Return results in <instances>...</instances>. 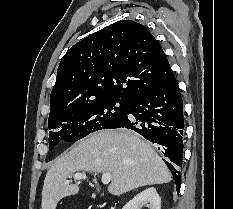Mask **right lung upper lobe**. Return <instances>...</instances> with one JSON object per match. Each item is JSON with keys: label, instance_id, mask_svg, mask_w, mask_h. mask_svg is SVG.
Listing matches in <instances>:
<instances>
[{"label": "right lung upper lobe", "instance_id": "cb5924a9", "mask_svg": "<svg viewBox=\"0 0 233 209\" xmlns=\"http://www.w3.org/2000/svg\"><path fill=\"white\" fill-rule=\"evenodd\" d=\"M167 57L140 23L120 20L72 46L50 95V113L108 98L130 100L170 73Z\"/></svg>", "mask_w": 233, "mask_h": 209}]
</instances>
